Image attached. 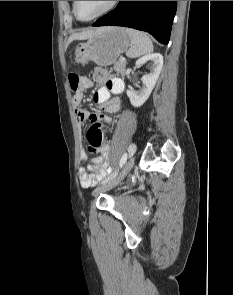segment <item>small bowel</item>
Masks as SVG:
<instances>
[{
	"mask_svg": "<svg viewBox=\"0 0 233 295\" xmlns=\"http://www.w3.org/2000/svg\"><path fill=\"white\" fill-rule=\"evenodd\" d=\"M95 80L104 86L100 88L95 96L94 102L105 114H91L85 108L80 107L83 101V93H77L73 96V104L75 106V116L78 123L90 120L92 126L108 127L111 119L107 114L116 113L120 109L121 101L118 97H110V94L118 95L124 90V83L120 78H111L108 73L102 69L95 71ZM81 160L86 161L85 153L81 151ZM108 146H102V155L88 162L87 168L81 167L78 175L80 183L83 187H91L105 178L111 168L107 164Z\"/></svg>",
	"mask_w": 233,
	"mask_h": 295,
	"instance_id": "obj_1",
	"label": "small bowel"
}]
</instances>
